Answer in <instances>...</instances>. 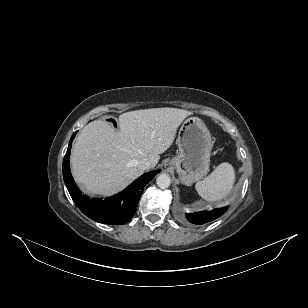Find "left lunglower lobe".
Wrapping results in <instances>:
<instances>
[{"label": "left lung lower lobe", "instance_id": "obj_1", "mask_svg": "<svg viewBox=\"0 0 308 308\" xmlns=\"http://www.w3.org/2000/svg\"><path fill=\"white\" fill-rule=\"evenodd\" d=\"M226 210L227 208L223 207L206 212L186 213L185 216L187 220L193 224H204L220 217Z\"/></svg>", "mask_w": 308, "mask_h": 308}]
</instances>
